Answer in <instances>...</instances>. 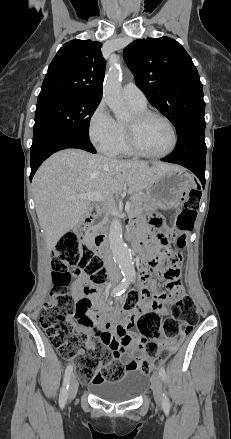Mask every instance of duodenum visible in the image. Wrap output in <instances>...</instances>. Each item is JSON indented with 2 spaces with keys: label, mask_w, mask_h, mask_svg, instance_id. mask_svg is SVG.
<instances>
[{
  "label": "duodenum",
  "mask_w": 231,
  "mask_h": 439,
  "mask_svg": "<svg viewBox=\"0 0 231 439\" xmlns=\"http://www.w3.org/2000/svg\"><path fill=\"white\" fill-rule=\"evenodd\" d=\"M90 211H91V215H90V216H87V217L83 220V223L81 224V226L78 228V231H79V232H82V233H84V234L87 233L88 228H89V225L91 224V222H92V220H93V216H94V214H95V212H96V206H95V205H91V206H90ZM137 242H138V243L136 244L137 249L140 250V249H141L140 241L137 240ZM103 244H104V233H98V234L94 235L92 246H93L96 250L101 251V250H102V247H103ZM145 252H146V251H144V252L142 253V262H143V255H144ZM144 271H145V265L143 264V265H142V273H143Z\"/></svg>",
  "instance_id": "duodenum-1"
}]
</instances>
